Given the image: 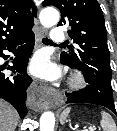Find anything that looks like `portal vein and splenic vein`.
Segmentation results:
<instances>
[{
  "instance_id": "portal-vein-and-splenic-vein-1",
  "label": "portal vein and splenic vein",
  "mask_w": 117,
  "mask_h": 131,
  "mask_svg": "<svg viewBox=\"0 0 117 131\" xmlns=\"http://www.w3.org/2000/svg\"><path fill=\"white\" fill-rule=\"evenodd\" d=\"M88 130L93 131L94 129H93L92 127H89V129H88Z\"/></svg>"
}]
</instances>
